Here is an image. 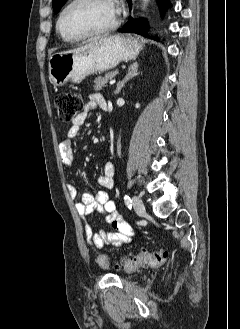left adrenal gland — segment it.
<instances>
[{
  "label": "left adrenal gland",
  "instance_id": "left-adrenal-gland-1",
  "mask_svg": "<svg viewBox=\"0 0 240 329\" xmlns=\"http://www.w3.org/2000/svg\"><path fill=\"white\" fill-rule=\"evenodd\" d=\"M138 66L139 65H138L137 62L130 65V67L128 68V71L126 73L125 78L122 81H119L117 83V88L114 92L115 94H119L121 89L124 87L125 83L139 74L138 73Z\"/></svg>",
  "mask_w": 240,
  "mask_h": 329
}]
</instances>
